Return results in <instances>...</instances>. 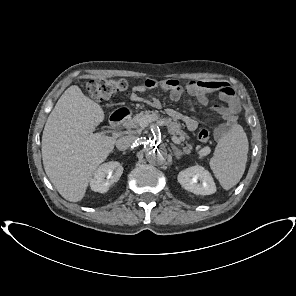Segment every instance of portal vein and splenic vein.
Listing matches in <instances>:
<instances>
[{
    "label": "portal vein and splenic vein",
    "mask_w": 296,
    "mask_h": 296,
    "mask_svg": "<svg viewBox=\"0 0 296 296\" xmlns=\"http://www.w3.org/2000/svg\"><path fill=\"white\" fill-rule=\"evenodd\" d=\"M153 121H155V118L153 116H145L140 120V126L142 128H145ZM102 134H104V133L100 132V133L93 134V136H100ZM172 141L175 144H180L181 143V140L176 136L172 137ZM209 152H210V148H208V147H205V148L202 149V154L203 155H207Z\"/></svg>",
    "instance_id": "portal-vein-and-splenic-vein-1"
}]
</instances>
